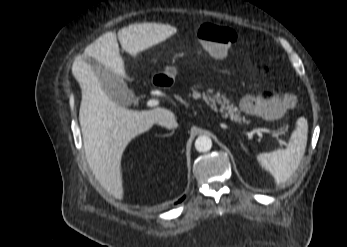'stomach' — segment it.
<instances>
[{"instance_id": "1", "label": "stomach", "mask_w": 347, "mask_h": 247, "mask_svg": "<svg viewBox=\"0 0 347 247\" xmlns=\"http://www.w3.org/2000/svg\"><path fill=\"white\" fill-rule=\"evenodd\" d=\"M175 73H176L175 68L167 67L165 72L162 75H164L166 78H168L170 80L171 79L173 80L175 78Z\"/></svg>"}]
</instances>
